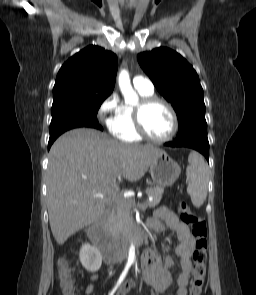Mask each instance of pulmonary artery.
<instances>
[{"instance_id": "obj_1", "label": "pulmonary artery", "mask_w": 256, "mask_h": 295, "mask_svg": "<svg viewBox=\"0 0 256 295\" xmlns=\"http://www.w3.org/2000/svg\"><path fill=\"white\" fill-rule=\"evenodd\" d=\"M133 86L137 90H141L144 92H153L154 86L150 79L144 76H136L133 79Z\"/></svg>"}]
</instances>
